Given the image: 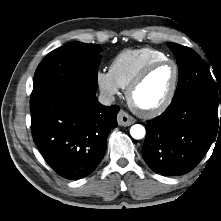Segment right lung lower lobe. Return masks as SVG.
Returning <instances> with one entry per match:
<instances>
[{"label":"right lung lower lobe","mask_w":221,"mask_h":221,"mask_svg":"<svg viewBox=\"0 0 221 221\" xmlns=\"http://www.w3.org/2000/svg\"><path fill=\"white\" fill-rule=\"evenodd\" d=\"M96 89L64 83L31 106L34 143L61 177L81 179L92 173L104 156L109 131L117 126L118 106H103Z\"/></svg>","instance_id":"obj_1"}]
</instances>
